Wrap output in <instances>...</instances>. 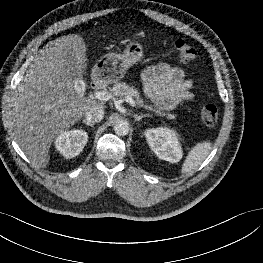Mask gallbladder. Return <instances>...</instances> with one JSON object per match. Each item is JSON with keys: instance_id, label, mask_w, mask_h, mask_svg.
I'll list each match as a JSON object with an SVG mask.
<instances>
[{"instance_id": "gallbladder-1", "label": "gallbladder", "mask_w": 263, "mask_h": 263, "mask_svg": "<svg viewBox=\"0 0 263 263\" xmlns=\"http://www.w3.org/2000/svg\"><path fill=\"white\" fill-rule=\"evenodd\" d=\"M67 58L70 61H74V57H72L71 55H68ZM69 80L71 81L72 84H76L79 80V75L74 71H70Z\"/></svg>"}]
</instances>
